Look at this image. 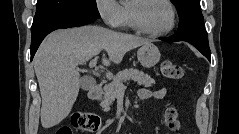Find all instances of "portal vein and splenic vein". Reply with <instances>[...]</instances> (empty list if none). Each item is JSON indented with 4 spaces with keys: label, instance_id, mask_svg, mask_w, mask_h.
Masks as SVG:
<instances>
[{
    "label": "portal vein and splenic vein",
    "instance_id": "obj_1",
    "mask_svg": "<svg viewBox=\"0 0 239 134\" xmlns=\"http://www.w3.org/2000/svg\"><path fill=\"white\" fill-rule=\"evenodd\" d=\"M96 65H97V57H95L94 59H92V60L89 62L90 68H96ZM119 87H120V88H124V85H123V84H120Z\"/></svg>",
    "mask_w": 239,
    "mask_h": 134
}]
</instances>
